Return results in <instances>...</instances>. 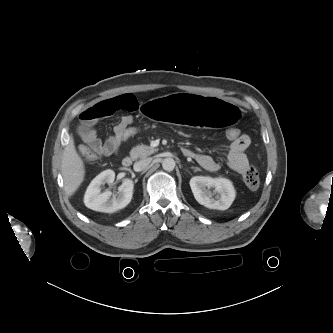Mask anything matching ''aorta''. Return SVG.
I'll use <instances>...</instances> for the list:
<instances>
[{"mask_svg":"<svg viewBox=\"0 0 333 333\" xmlns=\"http://www.w3.org/2000/svg\"><path fill=\"white\" fill-rule=\"evenodd\" d=\"M162 167L166 171H173L175 168V161L173 158H165L162 161Z\"/></svg>","mask_w":333,"mask_h":333,"instance_id":"762f6f07","label":"aorta"}]
</instances>
